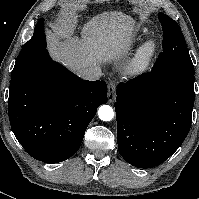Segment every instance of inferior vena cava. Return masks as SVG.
Here are the masks:
<instances>
[{"mask_svg": "<svg viewBox=\"0 0 199 199\" xmlns=\"http://www.w3.org/2000/svg\"><path fill=\"white\" fill-rule=\"evenodd\" d=\"M101 74H102L101 68L98 66L85 67L79 71V76L82 79L89 81H94L99 79Z\"/></svg>", "mask_w": 199, "mask_h": 199, "instance_id": "602c4592", "label": "inferior vena cava"}]
</instances>
